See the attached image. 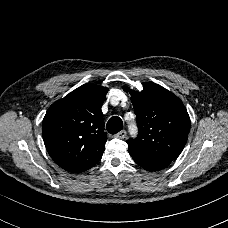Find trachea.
I'll return each mask as SVG.
<instances>
[{"mask_svg":"<svg viewBox=\"0 0 228 228\" xmlns=\"http://www.w3.org/2000/svg\"><path fill=\"white\" fill-rule=\"evenodd\" d=\"M106 128L110 134H116L122 130L123 122L121 118L117 116L111 117L107 122Z\"/></svg>","mask_w":228,"mask_h":228,"instance_id":"obj_1","label":"trachea"}]
</instances>
